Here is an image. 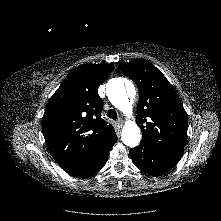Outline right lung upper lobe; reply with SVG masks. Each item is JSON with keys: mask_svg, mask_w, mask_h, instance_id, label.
I'll list each match as a JSON object with an SVG mask.
<instances>
[{"mask_svg": "<svg viewBox=\"0 0 221 221\" xmlns=\"http://www.w3.org/2000/svg\"><path fill=\"white\" fill-rule=\"evenodd\" d=\"M113 67V64L78 66L46 106L42 118L44 138L63 169L84 162L116 137L113 126L101 118L103 101L97 92Z\"/></svg>", "mask_w": 221, "mask_h": 221, "instance_id": "1", "label": "right lung upper lobe"}]
</instances>
